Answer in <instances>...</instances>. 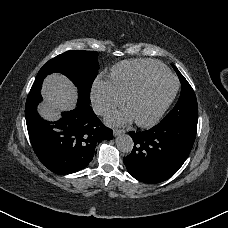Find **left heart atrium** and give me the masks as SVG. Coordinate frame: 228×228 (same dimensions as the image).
Here are the masks:
<instances>
[{
  "mask_svg": "<svg viewBox=\"0 0 228 228\" xmlns=\"http://www.w3.org/2000/svg\"><path fill=\"white\" fill-rule=\"evenodd\" d=\"M132 118H133V115L129 110L113 112L112 114V121L113 123H117V124H123V123L129 122L132 120Z\"/></svg>",
  "mask_w": 228,
  "mask_h": 228,
  "instance_id": "39dd6f15",
  "label": "left heart atrium"
}]
</instances>
